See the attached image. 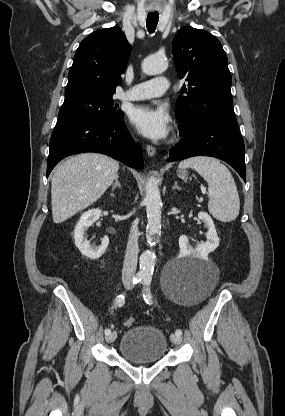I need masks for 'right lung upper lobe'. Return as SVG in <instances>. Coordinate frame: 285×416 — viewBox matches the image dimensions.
Wrapping results in <instances>:
<instances>
[{
	"instance_id": "right-lung-upper-lobe-1",
	"label": "right lung upper lobe",
	"mask_w": 285,
	"mask_h": 416,
	"mask_svg": "<svg viewBox=\"0 0 285 416\" xmlns=\"http://www.w3.org/2000/svg\"><path fill=\"white\" fill-rule=\"evenodd\" d=\"M130 52L131 46L118 27L87 36L75 53L65 98L112 97L122 82Z\"/></svg>"
}]
</instances>
